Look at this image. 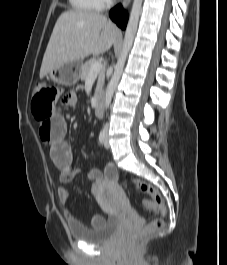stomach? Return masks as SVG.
<instances>
[{
    "mask_svg": "<svg viewBox=\"0 0 227 265\" xmlns=\"http://www.w3.org/2000/svg\"><path fill=\"white\" fill-rule=\"evenodd\" d=\"M82 68V61H71L66 63L56 69L49 72V78L59 84L64 86H71L77 83L80 78Z\"/></svg>",
    "mask_w": 227,
    "mask_h": 265,
    "instance_id": "1",
    "label": "stomach"
}]
</instances>
